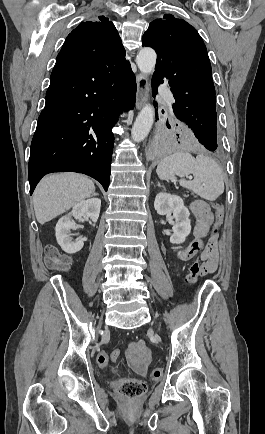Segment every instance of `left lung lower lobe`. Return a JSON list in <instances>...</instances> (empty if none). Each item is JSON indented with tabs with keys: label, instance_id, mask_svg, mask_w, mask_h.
Wrapping results in <instances>:
<instances>
[{
	"label": "left lung lower lobe",
	"instance_id": "0a47b994",
	"mask_svg": "<svg viewBox=\"0 0 265 434\" xmlns=\"http://www.w3.org/2000/svg\"><path fill=\"white\" fill-rule=\"evenodd\" d=\"M153 87V94L157 93L156 87ZM201 144L200 149L205 153H217L221 150V144L217 134V127L206 126L202 128H191ZM163 150L177 149L173 143L163 141L160 144Z\"/></svg>",
	"mask_w": 265,
	"mask_h": 434
}]
</instances>
